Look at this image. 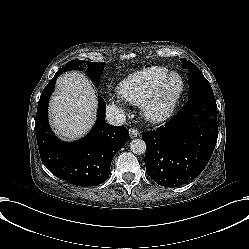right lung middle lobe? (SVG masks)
<instances>
[{
  "label": "right lung middle lobe",
  "mask_w": 249,
  "mask_h": 249,
  "mask_svg": "<svg viewBox=\"0 0 249 249\" xmlns=\"http://www.w3.org/2000/svg\"><path fill=\"white\" fill-rule=\"evenodd\" d=\"M85 61L83 60H72L69 63L66 64L65 67H63L59 72L63 73L69 70H81L80 63ZM88 69L87 73L88 75L97 83L99 84L101 75L104 70V62L101 63H95V62H87Z\"/></svg>",
  "instance_id": "1"
}]
</instances>
